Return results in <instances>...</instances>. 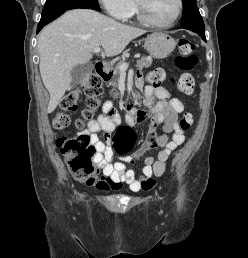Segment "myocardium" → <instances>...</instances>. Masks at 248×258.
Listing matches in <instances>:
<instances>
[{
    "instance_id": "obj_1",
    "label": "myocardium",
    "mask_w": 248,
    "mask_h": 258,
    "mask_svg": "<svg viewBox=\"0 0 248 258\" xmlns=\"http://www.w3.org/2000/svg\"><path fill=\"white\" fill-rule=\"evenodd\" d=\"M145 3H146V0H134V8H135V12L137 14L138 19L141 22H143L146 25H149L151 27H156V28L171 27L176 23V21L179 19L180 15L182 14V11H183V1L177 0V11H176V14L174 15V17L166 23H160V22L154 21L147 15Z\"/></svg>"
}]
</instances>
